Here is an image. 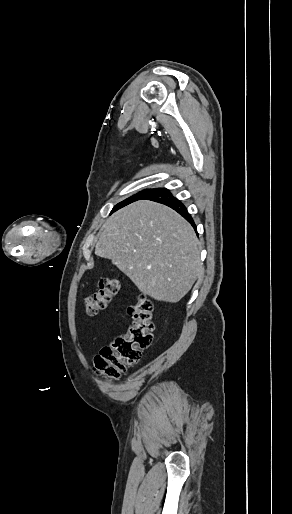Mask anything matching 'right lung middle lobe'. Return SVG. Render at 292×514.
<instances>
[{
  "label": "right lung middle lobe",
  "instance_id": "right-lung-middle-lobe-1",
  "mask_svg": "<svg viewBox=\"0 0 292 514\" xmlns=\"http://www.w3.org/2000/svg\"><path fill=\"white\" fill-rule=\"evenodd\" d=\"M150 190H151V189H145V190H142L141 192H139V193H137V194H135V195H133V196H131V197H129V198H127V199H125L124 201H122V202L118 203V204L113 208L112 212H114V211H116V210H118V209H120V208H122V207H124V206H126V205H128V204H130V203H132V202H134V201H137V200L142 199V198H143V197H144V196H145V195H146Z\"/></svg>",
  "mask_w": 292,
  "mask_h": 514
}]
</instances>
